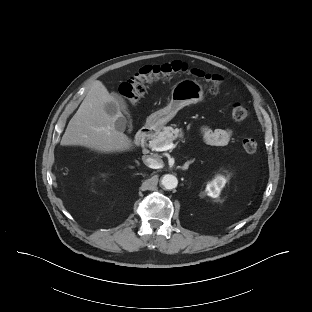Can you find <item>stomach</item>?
I'll use <instances>...</instances> for the list:
<instances>
[{"label":"stomach","instance_id":"obj_1","mask_svg":"<svg viewBox=\"0 0 312 312\" xmlns=\"http://www.w3.org/2000/svg\"><path fill=\"white\" fill-rule=\"evenodd\" d=\"M204 99L202 86L195 80L185 79L177 82L171 90V100L168 105L152 113L146 121L151 129H161L171 121L179 110L190 104H196Z\"/></svg>","mask_w":312,"mask_h":312}]
</instances>
